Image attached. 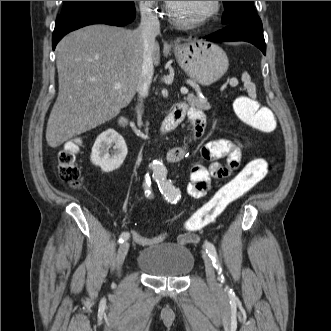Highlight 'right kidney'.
Wrapping results in <instances>:
<instances>
[{"instance_id":"1","label":"right kidney","mask_w":331,"mask_h":331,"mask_svg":"<svg viewBox=\"0 0 331 331\" xmlns=\"http://www.w3.org/2000/svg\"><path fill=\"white\" fill-rule=\"evenodd\" d=\"M127 152L123 137L114 129H108L97 137L92 147L91 162L100 166L103 172H112L121 166Z\"/></svg>"}]
</instances>
